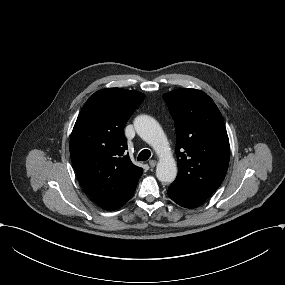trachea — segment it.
<instances>
[{
    "label": "trachea",
    "instance_id": "trachea-1",
    "mask_svg": "<svg viewBox=\"0 0 285 285\" xmlns=\"http://www.w3.org/2000/svg\"><path fill=\"white\" fill-rule=\"evenodd\" d=\"M150 155H151L150 150H147V149L142 150V151L139 153V155H138V157H137V160H138V161H146V160L149 159Z\"/></svg>",
    "mask_w": 285,
    "mask_h": 285
}]
</instances>
